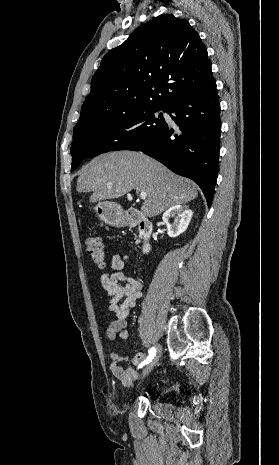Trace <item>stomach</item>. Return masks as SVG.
Masks as SVG:
<instances>
[{
    "label": "stomach",
    "mask_w": 279,
    "mask_h": 465,
    "mask_svg": "<svg viewBox=\"0 0 279 465\" xmlns=\"http://www.w3.org/2000/svg\"><path fill=\"white\" fill-rule=\"evenodd\" d=\"M95 212L108 225L122 227L126 224L125 214L121 206L115 202H99L95 206Z\"/></svg>",
    "instance_id": "1"
}]
</instances>
